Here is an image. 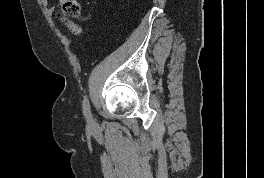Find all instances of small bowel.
Here are the masks:
<instances>
[{
    "mask_svg": "<svg viewBox=\"0 0 264 178\" xmlns=\"http://www.w3.org/2000/svg\"><path fill=\"white\" fill-rule=\"evenodd\" d=\"M42 4L47 7V11L51 15H57L60 21L73 33L74 35H79L82 31L81 27L76 24L73 20L63 16L62 14L58 13L57 8L55 6H49L48 0H41Z\"/></svg>",
    "mask_w": 264,
    "mask_h": 178,
    "instance_id": "c3829d8e",
    "label": "small bowel"
}]
</instances>
